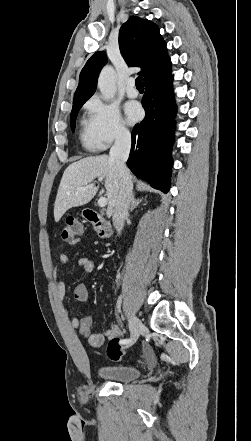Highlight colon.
<instances>
[{"instance_id":"colon-1","label":"colon","mask_w":251,"mask_h":441,"mask_svg":"<svg viewBox=\"0 0 251 441\" xmlns=\"http://www.w3.org/2000/svg\"><path fill=\"white\" fill-rule=\"evenodd\" d=\"M83 232L82 224L74 217H69L63 224L60 237L63 241L68 242L76 239ZM106 354L109 359L113 361L121 360L123 351L119 343V338H112L106 348Z\"/></svg>"}]
</instances>
